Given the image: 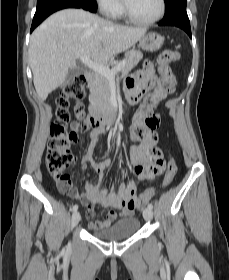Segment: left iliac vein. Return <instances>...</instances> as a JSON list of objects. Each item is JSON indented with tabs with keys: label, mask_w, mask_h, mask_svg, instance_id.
<instances>
[{
	"label": "left iliac vein",
	"mask_w": 229,
	"mask_h": 280,
	"mask_svg": "<svg viewBox=\"0 0 229 280\" xmlns=\"http://www.w3.org/2000/svg\"><path fill=\"white\" fill-rule=\"evenodd\" d=\"M152 215H153L152 209L147 207L143 210V217L145 220H147V221L151 220Z\"/></svg>",
	"instance_id": "1"
}]
</instances>
